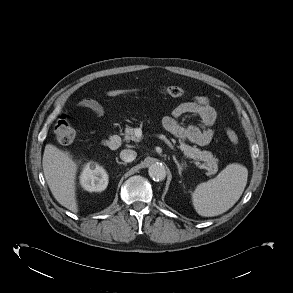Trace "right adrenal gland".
Wrapping results in <instances>:
<instances>
[{
  "label": "right adrenal gland",
  "mask_w": 293,
  "mask_h": 293,
  "mask_svg": "<svg viewBox=\"0 0 293 293\" xmlns=\"http://www.w3.org/2000/svg\"><path fill=\"white\" fill-rule=\"evenodd\" d=\"M116 162L120 165H126V163L119 161L118 158H116Z\"/></svg>",
  "instance_id": "right-adrenal-gland-1"
}]
</instances>
